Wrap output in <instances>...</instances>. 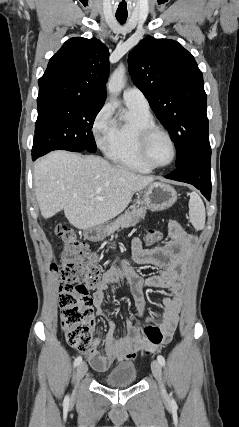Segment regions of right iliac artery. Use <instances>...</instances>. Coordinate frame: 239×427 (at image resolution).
Wrapping results in <instances>:
<instances>
[{
    "instance_id": "82829eb1",
    "label": "right iliac artery",
    "mask_w": 239,
    "mask_h": 427,
    "mask_svg": "<svg viewBox=\"0 0 239 427\" xmlns=\"http://www.w3.org/2000/svg\"><path fill=\"white\" fill-rule=\"evenodd\" d=\"M82 361V357L78 356L75 361H74V367L78 366ZM64 405L68 406L69 405V396L67 395L64 399Z\"/></svg>"
}]
</instances>
